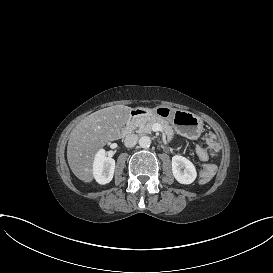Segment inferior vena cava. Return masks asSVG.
<instances>
[{"label":"inferior vena cava","instance_id":"602c4592","mask_svg":"<svg viewBox=\"0 0 273 273\" xmlns=\"http://www.w3.org/2000/svg\"><path fill=\"white\" fill-rule=\"evenodd\" d=\"M138 142V135L136 134H129L124 139V145L126 147H134Z\"/></svg>","mask_w":273,"mask_h":273}]
</instances>
